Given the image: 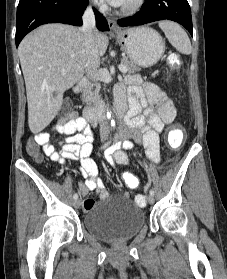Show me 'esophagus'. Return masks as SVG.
<instances>
[{
  "label": "esophagus",
  "mask_w": 227,
  "mask_h": 279,
  "mask_svg": "<svg viewBox=\"0 0 227 279\" xmlns=\"http://www.w3.org/2000/svg\"><path fill=\"white\" fill-rule=\"evenodd\" d=\"M108 25H109L110 32L112 33L120 32V28L117 25L115 20L108 18Z\"/></svg>",
  "instance_id": "obj_1"
}]
</instances>
